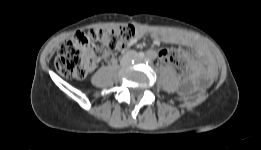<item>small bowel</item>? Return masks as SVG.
<instances>
[{"label":"small bowel","instance_id":"obj_1","mask_svg":"<svg viewBox=\"0 0 261 150\" xmlns=\"http://www.w3.org/2000/svg\"><path fill=\"white\" fill-rule=\"evenodd\" d=\"M147 34H150L152 40L155 43L174 44V45H180L192 49L196 57L200 59L202 63L205 65V68H203L198 63H195L193 65L194 80L190 85L187 86V89H190L192 86L196 84L202 83L204 79L210 77L214 73L215 71L214 61L209 51L205 47V45L199 42L198 40L183 35H170L161 32H149L145 28L137 29L135 40H138ZM163 52L164 50H160L158 52L155 50H149L147 54L153 58L159 57L164 62V57L162 55Z\"/></svg>","mask_w":261,"mask_h":150}]
</instances>
